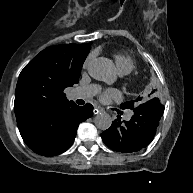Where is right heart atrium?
Listing matches in <instances>:
<instances>
[{
  "mask_svg": "<svg viewBox=\"0 0 193 193\" xmlns=\"http://www.w3.org/2000/svg\"><path fill=\"white\" fill-rule=\"evenodd\" d=\"M90 57H88L85 61H84V64H83V69H87L88 66H89V63H90Z\"/></svg>",
  "mask_w": 193,
  "mask_h": 193,
  "instance_id": "1",
  "label": "right heart atrium"
}]
</instances>
